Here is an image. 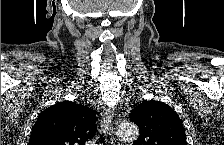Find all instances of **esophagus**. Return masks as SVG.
<instances>
[{
    "mask_svg": "<svg viewBox=\"0 0 224 145\" xmlns=\"http://www.w3.org/2000/svg\"><path fill=\"white\" fill-rule=\"evenodd\" d=\"M113 117H114L113 111L106 110V112L103 113L101 120V129L107 136H109L110 141L112 143L114 141L113 126H112Z\"/></svg>",
    "mask_w": 224,
    "mask_h": 145,
    "instance_id": "1",
    "label": "esophagus"
}]
</instances>
